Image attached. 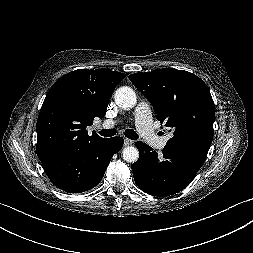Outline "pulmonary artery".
I'll list each match as a JSON object with an SVG mask.
<instances>
[{
    "label": "pulmonary artery",
    "mask_w": 253,
    "mask_h": 253,
    "mask_svg": "<svg viewBox=\"0 0 253 253\" xmlns=\"http://www.w3.org/2000/svg\"><path fill=\"white\" fill-rule=\"evenodd\" d=\"M135 122L140 135L152 146L163 149L168 140L169 136H159L154 130L152 113L147 103H140L134 112ZM117 123L116 120H106L103 123V127L111 128Z\"/></svg>",
    "instance_id": "obj_1"
}]
</instances>
